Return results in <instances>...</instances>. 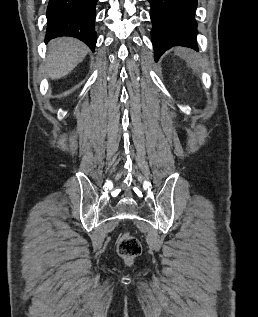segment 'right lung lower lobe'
Returning <instances> with one entry per match:
<instances>
[{"mask_svg": "<svg viewBox=\"0 0 258 317\" xmlns=\"http://www.w3.org/2000/svg\"><path fill=\"white\" fill-rule=\"evenodd\" d=\"M98 0H49L45 41L71 36L95 49V6Z\"/></svg>", "mask_w": 258, "mask_h": 317, "instance_id": "1", "label": "right lung lower lobe"}]
</instances>
